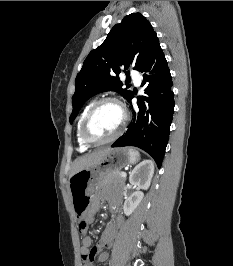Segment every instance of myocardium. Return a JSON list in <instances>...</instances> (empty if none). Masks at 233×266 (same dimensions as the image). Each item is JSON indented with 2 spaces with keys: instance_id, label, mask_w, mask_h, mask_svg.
<instances>
[{
  "instance_id": "myocardium-1",
  "label": "myocardium",
  "mask_w": 233,
  "mask_h": 266,
  "mask_svg": "<svg viewBox=\"0 0 233 266\" xmlns=\"http://www.w3.org/2000/svg\"><path fill=\"white\" fill-rule=\"evenodd\" d=\"M105 103H114L120 107V109L122 111V115H123L122 122H121L119 128L116 130V132L112 136H110L106 139H103V140H94L88 135V131H87L88 125H89V122H90L92 116L97 111V109ZM127 121H128V115H127V112H126V109H125L123 103L116 97H104V98L96 101L90 107L88 112L86 113V115L82 121L81 128H80L81 139L88 146H99V145L111 143V142L115 141L116 139H118L122 135V133L126 127Z\"/></svg>"
}]
</instances>
